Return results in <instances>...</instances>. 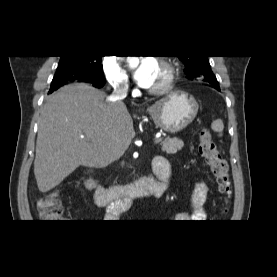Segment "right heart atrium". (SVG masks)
Instances as JSON below:
<instances>
[{
	"label": "right heart atrium",
	"mask_w": 277,
	"mask_h": 277,
	"mask_svg": "<svg viewBox=\"0 0 277 277\" xmlns=\"http://www.w3.org/2000/svg\"><path fill=\"white\" fill-rule=\"evenodd\" d=\"M103 71L106 80L116 89H125L129 84V76L119 59L109 55L103 59Z\"/></svg>",
	"instance_id": "d8ad5b80"
}]
</instances>
